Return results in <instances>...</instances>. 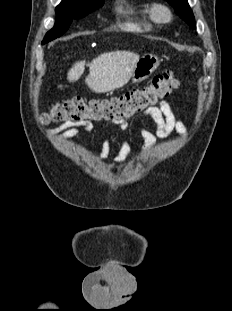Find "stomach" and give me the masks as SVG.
Instances as JSON below:
<instances>
[{"label": "stomach", "instance_id": "1", "mask_svg": "<svg viewBox=\"0 0 232 311\" xmlns=\"http://www.w3.org/2000/svg\"><path fill=\"white\" fill-rule=\"evenodd\" d=\"M159 58L154 54H145L134 66L132 71V83H140L147 79L159 66Z\"/></svg>", "mask_w": 232, "mask_h": 311}]
</instances>
